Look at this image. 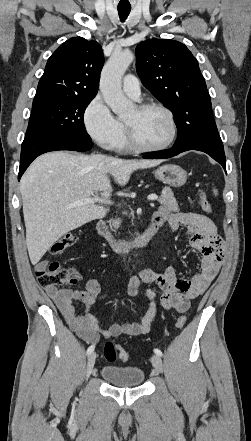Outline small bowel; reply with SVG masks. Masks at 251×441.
Listing matches in <instances>:
<instances>
[{
    "label": "small bowel",
    "mask_w": 251,
    "mask_h": 441,
    "mask_svg": "<svg viewBox=\"0 0 251 441\" xmlns=\"http://www.w3.org/2000/svg\"><path fill=\"white\" fill-rule=\"evenodd\" d=\"M153 217L161 225L167 223L172 232H176L182 226L186 228L190 246L202 254L200 272L191 279H185L178 276L173 266H168L162 272L144 270L139 276L129 281L128 293L135 296L141 283H155L162 290L159 302L156 300L155 293L147 290L145 294L150 300V306L143 319L140 322L116 323L108 329H103L92 313L100 292L97 280L85 281L81 290L64 289L58 286L44 287L70 328L87 343L94 345L100 341L101 337L146 334L155 318L158 304L164 309L184 313L189 309L190 301L204 293L216 278L223 258V242L214 223L208 217L197 213H170L164 208L158 210ZM45 266L46 261L37 265L38 268ZM75 302L83 304V312L77 310Z\"/></svg>",
    "instance_id": "c3829d8e"
}]
</instances>
